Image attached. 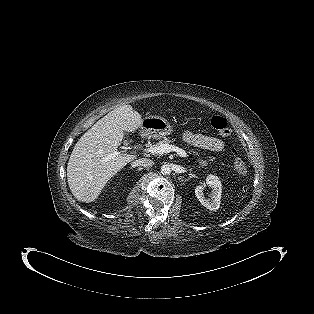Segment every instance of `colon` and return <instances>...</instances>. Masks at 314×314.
Here are the masks:
<instances>
[{
  "mask_svg": "<svg viewBox=\"0 0 314 314\" xmlns=\"http://www.w3.org/2000/svg\"><path fill=\"white\" fill-rule=\"evenodd\" d=\"M211 127L214 131L222 136H229L230 125L228 121L220 115H214L210 121ZM233 155L232 164L234 169L240 174H245L247 172V165L245 159L242 156L236 154L234 150H231Z\"/></svg>",
  "mask_w": 314,
  "mask_h": 314,
  "instance_id": "obj_1",
  "label": "colon"
}]
</instances>
